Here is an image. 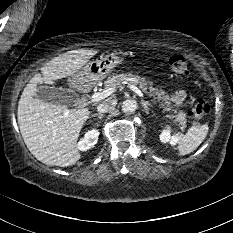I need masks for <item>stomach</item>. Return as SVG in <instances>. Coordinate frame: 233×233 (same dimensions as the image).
Listing matches in <instances>:
<instances>
[{"instance_id": "obj_1", "label": "stomach", "mask_w": 233, "mask_h": 233, "mask_svg": "<svg viewBox=\"0 0 233 233\" xmlns=\"http://www.w3.org/2000/svg\"><path fill=\"white\" fill-rule=\"evenodd\" d=\"M125 53L114 51L103 53L99 59L89 61L73 77L72 81L81 88L95 84L109 76L124 61Z\"/></svg>"}]
</instances>
